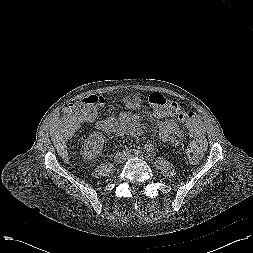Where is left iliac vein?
Here are the masks:
<instances>
[{
    "mask_svg": "<svg viewBox=\"0 0 253 253\" xmlns=\"http://www.w3.org/2000/svg\"><path fill=\"white\" fill-rule=\"evenodd\" d=\"M132 157H134V156L130 155V156H128L127 158H132Z\"/></svg>",
    "mask_w": 253,
    "mask_h": 253,
    "instance_id": "obj_1",
    "label": "left iliac vein"
}]
</instances>
